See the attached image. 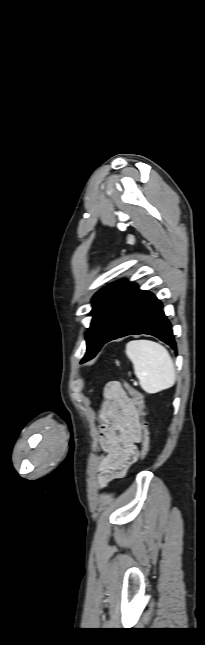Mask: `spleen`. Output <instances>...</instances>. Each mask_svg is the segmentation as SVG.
Returning a JSON list of instances; mask_svg holds the SVG:
<instances>
[{
	"instance_id": "obj_1",
	"label": "spleen",
	"mask_w": 205,
	"mask_h": 645,
	"mask_svg": "<svg viewBox=\"0 0 205 645\" xmlns=\"http://www.w3.org/2000/svg\"><path fill=\"white\" fill-rule=\"evenodd\" d=\"M126 355L133 363L134 373L145 392L155 394L174 385V363L161 344L150 340H133L126 345Z\"/></svg>"
}]
</instances>
